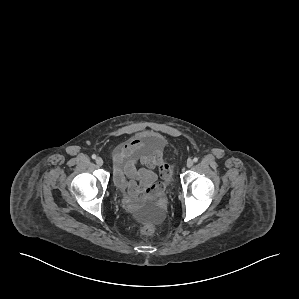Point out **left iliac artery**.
Masks as SVG:
<instances>
[{"label": "left iliac artery", "instance_id": "obj_1", "mask_svg": "<svg viewBox=\"0 0 299 299\" xmlns=\"http://www.w3.org/2000/svg\"><path fill=\"white\" fill-rule=\"evenodd\" d=\"M193 161H194V162H197V161H198V158H197V157H194Z\"/></svg>", "mask_w": 299, "mask_h": 299}]
</instances>
